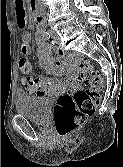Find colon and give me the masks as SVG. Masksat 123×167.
<instances>
[{
	"label": "colon",
	"instance_id": "5ec220e1",
	"mask_svg": "<svg viewBox=\"0 0 123 167\" xmlns=\"http://www.w3.org/2000/svg\"><path fill=\"white\" fill-rule=\"evenodd\" d=\"M20 70L24 75L29 74L31 63L25 58L21 59ZM77 79L78 87L73 93L61 94L54 110L56 131L62 138L72 134L93 114L104 88L102 76L86 59L78 63Z\"/></svg>",
	"mask_w": 123,
	"mask_h": 167
}]
</instances>
